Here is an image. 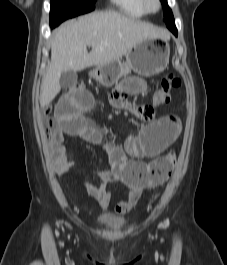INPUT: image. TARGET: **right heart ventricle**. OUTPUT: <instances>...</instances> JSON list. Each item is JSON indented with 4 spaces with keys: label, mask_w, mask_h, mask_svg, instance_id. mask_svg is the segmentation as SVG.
<instances>
[{
    "label": "right heart ventricle",
    "mask_w": 227,
    "mask_h": 265,
    "mask_svg": "<svg viewBox=\"0 0 227 265\" xmlns=\"http://www.w3.org/2000/svg\"><path fill=\"white\" fill-rule=\"evenodd\" d=\"M114 6L122 13L131 17H142L146 14L142 0H111Z\"/></svg>",
    "instance_id": "obj_1"
}]
</instances>
